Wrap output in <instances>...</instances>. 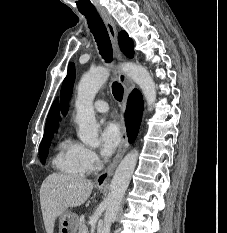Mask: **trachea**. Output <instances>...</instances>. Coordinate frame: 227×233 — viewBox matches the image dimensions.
<instances>
[{
  "label": "trachea",
  "mask_w": 227,
  "mask_h": 233,
  "mask_svg": "<svg viewBox=\"0 0 227 233\" xmlns=\"http://www.w3.org/2000/svg\"><path fill=\"white\" fill-rule=\"evenodd\" d=\"M87 19L89 29L98 45L99 53L102 58L110 63L112 61V46L107 29L97 11L81 12ZM123 86L118 82H113L112 93L116 100L122 101Z\"/></svg>",
  "instance_id": "1"
}]
</instances>
